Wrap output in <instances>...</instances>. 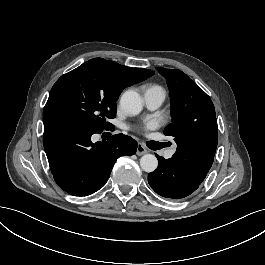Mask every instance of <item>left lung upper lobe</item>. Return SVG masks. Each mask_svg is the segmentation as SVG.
<instances>
[{
  "label": "left lung upper lobe",
  "mask_w": 265,
  "mask_h": 265,
  "mask_svg": "<svg viewBox=\"0 0 265 265\" xmlns=\"http://www.w3.org/2000/svg\"><path fill=\"white\" fill-rule=\"evenodd\" d=\"M166 78L171 97L172 123L164 130L174 137L173 159L205 179L218 143L217 119L210 97L178 69L157 68Z\"/></svg>",
  "instance_id": "5c2ea615"
}]
</instances>
